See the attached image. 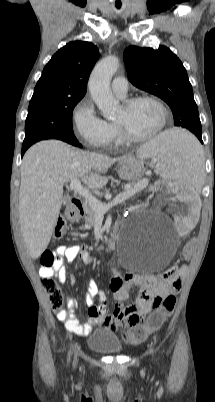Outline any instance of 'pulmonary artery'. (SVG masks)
I'll list each match as a JSON object with an SVG mask.
<instances>
[{
	"label": "pulmonary artery",
	"instance_id": "obj_1",
	"mask_svg": "<svg viewBox=\"0 0 215 402\" xmlns=\"http://www.w3.org/2000/svg\"><path fill=\"white\" fill-rule=\"evenodd\" d=\"M112 91L120 98H124L128 91V82L126 78L118 76L113 79L111 84Z\"/></svg>",
	"mask_w": 215,
	"mask_h": 402
}]
</instances>
